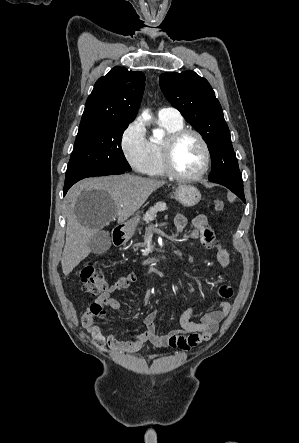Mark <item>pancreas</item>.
<instances>
[{"mask_svg":"<svg viewBox=\"0 0 299 443\" xmlns=\"http://www.w3.org/2000/svg\"><path fill=\"white\" fill-rule=\"evenodd\" d=\"M166 209H167V207L164 202H158L146 212V214L143 217V220L146 223H149L150 221H152L156 217V214L158 212H162Z\"/></svg>","mask_w":299,"mask_h":443,"instance_id":"cf45deb5","label":"pancreas"}]
</instances>
